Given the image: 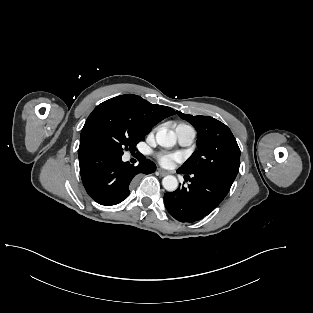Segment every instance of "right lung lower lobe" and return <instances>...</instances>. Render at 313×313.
I'll return each mask as SVG.
<instances>
[{"instance_id":"98d812e1","label":"right lung lower lobe","mask_w":313,"mask_h":313,"mask_svg":"<svg viewBox=\"0 0 313 313\" xmlns=\"http://www.w3.org/2000/svg\"><path fill=\"white\" fill-rule=\"evenodd\" d=\"M123 154L94 149L79 154L80 174L89 196L105 206L122 202L138 174L155 172L156 166L143 158L138 166L123 162Z\"/></svg>"}]
</instances>
